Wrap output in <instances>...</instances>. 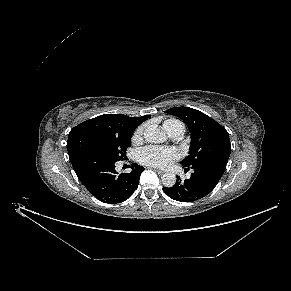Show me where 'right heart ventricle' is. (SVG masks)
Listing matches in <instances>:
<instances>
[{
  "label": "right heart ventricle",
  "instance_id": "obj_1",
  "mask_svg": "<svg viewBox=\"0 0 291 291\" xmlns=\"http://www.w3.org/2000/svg\"><path fill=\"white\" fill-rule=\"evenodd\" d=\"M179 125L184 126L182 124V122H180L176 119H168V120L164 121V123H163V127L165 128V130L167 132H169L173 127L179 126Z\"/></svg>",
  "mask_w": 291,
  "mask_h": 291
}]
</instances>
